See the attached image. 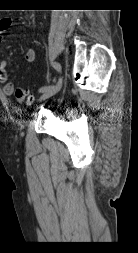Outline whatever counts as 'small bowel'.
Instances as JSON below:
<instances>
[{
	"instance_id": "1",
	"label": "small bowel",
	"mask_w": 138,
	"mask_h": 253,
	"mask_svg": "<svg viewBox=\"0 0 138 253\" xmlns=\"http://www.w3.org/2000/svg\"><path fill=\"white\" fill-rule=\"evenodd\" d=\"M12 24V19H0V43L4 42L5 31ZM25 60L29 63L35 60V51L33 48L29 47L26 49ZM0 83L3 84V92L5 95L11 96L14 93L15 87L13 83L9 82L7 62L5 60H0Z\"/></svg>"
}]
</instances>
